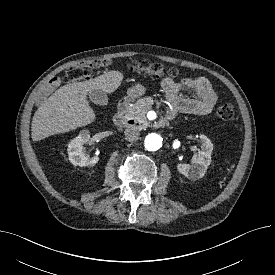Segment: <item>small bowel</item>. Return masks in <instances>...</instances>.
<instances>
[{"mask_svg":"<svg viewBox=\"0 0 275 275\" xmlns=\"http://www.w3.org/2000/svg\"><path fill=\"white\" fill-rule=\"evenodd\" d=\"M161 88L169 103L171 113L181 111L193 115L209 114L217 102V95L209 80L204 77L184 78L174 81L164 78ZM184 89L193 90L196 99L185 98L180 95Z\"/></svg>","mask_w":275,"mask_h":275,"instance_id":"c3829d8e","label":"small bowel"}]
</instances>
